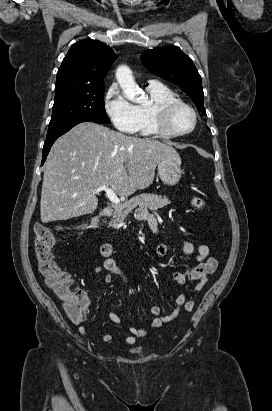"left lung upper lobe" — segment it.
Masks as SVG:
<instances>
[{"label": "left lung upper lobe", "mask_w": 272, "mask_h": 411, "mask_svg": "<svg viewBox=\"0 0 272 411\" xmlns=\"http://www.w3.org/2000/svg\"><path fill=\"white\" fill-rule=\"evenodd\" d=\"M143 65L155 75L173 82L193 100L198 111L206 115L201 76L191 58L177 46H164L141 54Z\"/></svg>", "instance_id": "5c2ea615"}]
</instances>
